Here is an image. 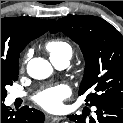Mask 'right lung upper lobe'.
<instances>
[{
  "label": "right lung upper lobe",
  "mask_w": 123,
  "mask_h": 123,
  "mask_svg": "<svg viewBox=\"0 0 123 123\" xmlns=\"http://www.w3.org/2000/svg\"><path fill=\"white\" fill-rule=\"evenodd\" d=\"M54 22L33 17L1 19V67L19 64L25 46L47 32Z\"/></svg>",
  "instance_id": "1"
}]
</instances>
